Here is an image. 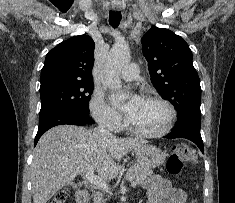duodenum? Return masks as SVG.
<instances>
[{"instance_id":"410a0bca","label":"duodenum","mask_w":235,"mask_h":203,"mask_svg":"<svg viewBox=\"0 0 235 203\" xmlns=\"http://www.w3.org/2000/svg\"><path fill=\"white\" fill-rule=\"evenodd\" d=\"M77 203H89V192L87 189H80L76 194Z\"/></svg>"}]
</instances>
